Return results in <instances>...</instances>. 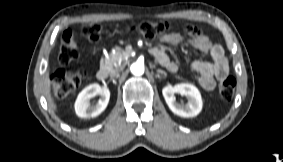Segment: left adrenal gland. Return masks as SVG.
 I'll return each mask as SVG.
<instances>
[{
	"label": "left adrenal gland",
	"mask_w": 283,
	"mask_h": 162,
	"mask_svg": "<svg viewBox=\"0 0 283 162\" xmlns=\"http://www.w3.org/2000/svg\"><path fill=\"white\" fill-rule=\"evenodd\" d=\"M157 73L163 74L165 77L167 76L166 72L161 69H158Z\"/></svg>",
	"instance_id": "a2214340"
}]
</instances>
